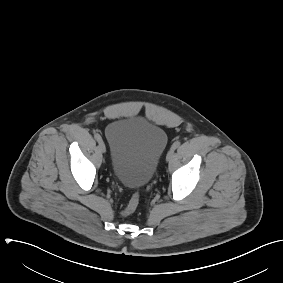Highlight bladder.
Segmentation results:
<instances>
[{"label": "bladder", "instance_id": "31cf9c89", "mask_svg": "<svg viewBox=\"0 0 283 283\" xmlns=\"http://www.w3.org/2000/svg\"><path fill=\"white\" fill-rule=\"evenodd\" d=\"M105 135L114 177L130 188L146 186L166 149L165 130L145 118L131 117L111 122Z\"/></svg>", "mask_w": 283, "mask_h": 283}]
</instances>
